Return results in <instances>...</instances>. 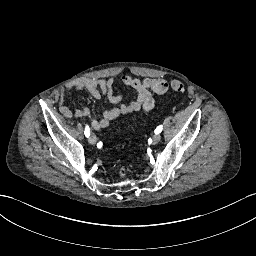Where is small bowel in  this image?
Wrapping results in <instances>:
<instances>
[{"label": "small bowel", "instance_id": "1", "mask_svg": "<svg viewBox=\"0 0 256 256\" xmlns=\"http://www.w3.org/2000/svg\"><path fill=\"white\" fill-rule=\"evenodd\" d=\"M121 81L130 87L135 93V99L129 103H123L121 95L115 93L114 78H79L70 82L58 92V108L65 117L73 115L77 117H88L90 110L87 107L71 109L67 105V96L71 90H86L94 98L105 96L113 107L105 110L101 119L92 120V127L100 132L107 128L116 118L134 112L149 113L155 105L154 96L163 95L168 89L167 80L161 77L146 78L140 80L130 75H123Z\"/></svg>", "mask_w": 256, "mask_h": 256}]
</instances>
